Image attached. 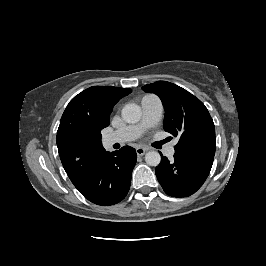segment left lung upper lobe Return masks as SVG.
<instances>
[{"label": "left lung upper lobe", "instance_id": "5c2ea615", "mask_svg": "<svg viewBox=\"0 0 266 266\" xmlns=\"http://www.w3.org/2000/svg\"><path fill=\"white\" fill-rule=\"evenodd\" d=\"M142 90L158 95L165 109L164 130L178 136L175 153L214 156L215 127L205 105L185 89L166 81L145 85Z\"/></svg>", "mask_w": 266, "mask_h": 266}]
</instances>
